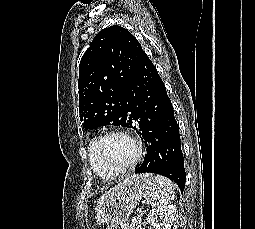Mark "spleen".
I'll use <instances>...</instances> for the list:
<instances>
[{
	"label": "spleen",
	"instance_id": "1",
	"mask_svg": "<svg viewBox=\"0 0 255 229\" xmlns=\"http://www.w3.org/2000/svg\"><path fill=\"white\" fill-rule=\"evenodd\" d=\"M157 184L155 190L151 193L149 203L153 206L167 205L175 198L173 183L161 175L154 176Z\"/></svg>",
	"mask_w": 255,
	"mask_h": 229
}]
</instances>
